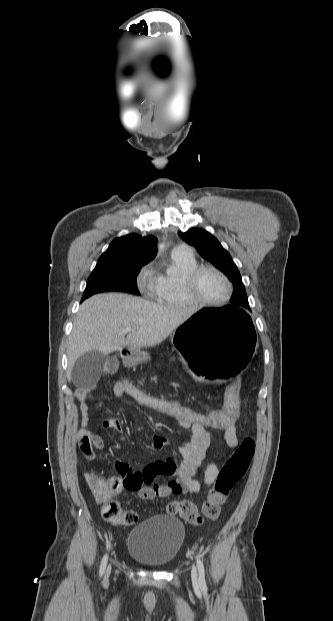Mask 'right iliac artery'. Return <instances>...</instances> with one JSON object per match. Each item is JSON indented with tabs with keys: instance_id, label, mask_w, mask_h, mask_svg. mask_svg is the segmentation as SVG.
<instances>
[{
	"instance_id": "1",
	"label": "right iliac artery",
	"mask_w": 333,
	"mask_h": 621,
	"mask_svg": "<svg viewBox=\"0 0 333 621\" xmlns=\"http://www.w3.org/2000/svg\"><path fill=\"white\" fill-rule=\"evenodd\" d=\"M107 561H108V555L106 554L102 561H101V565H100V570H99V575L102 576L104 574L106 565H107Z\"/></svg>"
}]
</instances>
